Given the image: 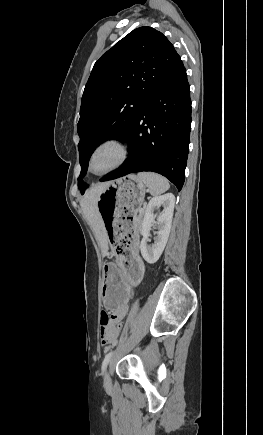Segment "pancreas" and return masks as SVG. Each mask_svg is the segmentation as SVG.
<instances>
[{
  "mask_svg": "<svg viewBox=\"0 0 263 435\" xmlns=\"http://www.w3.org/2000/svg\"><path fill=\"white\" fill-rule=\"evenodd\" d=\"M136 212L139 213L138 216L136 217V221H137L138 223H140L141 220H142V218H143L144 209H142L141 211H140V209H137Z\"/></svg>",
  "mask_w": 263,
  "mask_h": 435,
  "instance_id": "obj_1",
  "label": "pancreas"
}]
</instances>
